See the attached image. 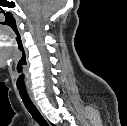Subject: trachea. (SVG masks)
I'll return each instance as SVG.
<instances>
[{
	"mask_svg": "<svg viewBox=\"0 0 127 126\" xmlns=\"http://www.w3.org/2000/svg\"><path fill=\"white\" fill-rule=\"evenodd\" d=\"M18 90H19L20 97H21L26 109L31 114L33 119L40 126H48V124L45 121V119L43 118V116L40 114V112L37 110V108L35 107V105L31 101V99L29 98L26 88H24V89L18 88Z\"/></svg>",
	"mask_w": 127,
	"mask_h": 126,
	"instance_id": "trachea-1",
	"label": "trachea"
}]
</instances>
